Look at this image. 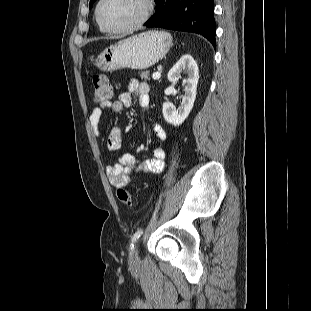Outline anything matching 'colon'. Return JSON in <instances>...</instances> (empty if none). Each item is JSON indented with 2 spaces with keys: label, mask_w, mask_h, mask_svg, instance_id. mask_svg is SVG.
<instances>
[{
  "label": "colon",
  "mask_w": 311,
  "mask_h": 311,
  "mask_svg": "<svg viewBox=\"0 0 311 311\" xmlns=\"http://www.w3.org/2000/svg\"><path fill=\"white\" fill-rule=\"evenodd\" d=\"M93 97L99 104L109 102L112 98V87L104 74H97L93 77ZM117 198L123 205L133 206V198L129 191L118 188Z\"/></svg>",
  "instance_id": "5ec220e1"
}]
</instances>
